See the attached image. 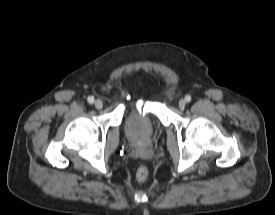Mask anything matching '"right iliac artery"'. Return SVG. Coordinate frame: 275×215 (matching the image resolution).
Wrapping results in <instances>:
<instances>
[{
	"label": "right iliac artery",
	"mask_w": 275,
	"mask_h": 215,
	"mask_svg": "<svg viewBox=\"0 0 275 215\" xmlns=\"http://www.w3.org/2000/svg\"><path fill=\"white\" fill-rule=\"evenodd\" d=\"M87 101H88L89 104H93L95 100H94L93 96H89Z\"/></svg>",
	"instance_id": "82829eb1"
}]
</instances>
